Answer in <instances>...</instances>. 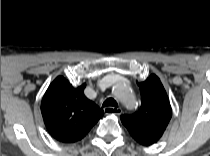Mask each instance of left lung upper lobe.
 Segmentation results:
<instances>
[{"mask_svg":"<svg viewBox=\"0 0 210 156\" xmlns=\"http://www.w3.org/2000/svg\"><path fill=\"white\" fill-rule=\"evenodd\" d=\"M141 107L132 115L121 116V122L139 144L149 146L162 137L172 116L166 91L160 79L152 74L138 83Z\"/></svg>","mask_w":210,"mask_h":156,"instance_id":"1","label":"left lung upper lobe"}]
</instances>
